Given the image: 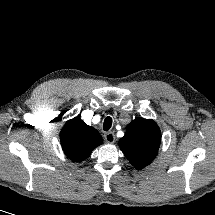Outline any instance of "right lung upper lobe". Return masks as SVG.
I'll return each mask as SVG.
<instances>
[{
    "label": "right lung upper lobe",
    "mask_w": 215,
    "mask_h": 215,
    "mask_svg": "<svg viewBox=\"0 0 215 215\" xmlns=\"http://www.w3.org/2000/svg\"><path fill=\"white\" fill-rule=\"evenodd\" d=\"M60 140L65 155L75 162L85 160L102 143L101 135L78 117L66 122Z\"/></svg>",
    "instance_id": "right-lung-upper-lobe-1"
}]
</instances>
